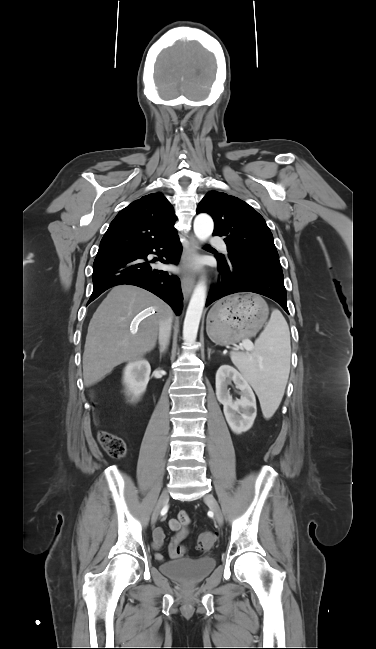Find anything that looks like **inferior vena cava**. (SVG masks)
<instances>
[{
	"label": "inferior vena cava",
	"mask_w": 376,
	"mask_h": 649,
	"mask_svg": "<svg viewBox=\"0 0 376 649\" xmlns=\"http://www.w3.org/2000/svg\"><path fill=\"white\" fill-rule=\"evenodd\" d=\"M172 315L162 320L159 328V345L160 351L164 352L167 349L171 336Z\"/></svg>",
	"instance_id": "602c4592"
}]
</instances>
